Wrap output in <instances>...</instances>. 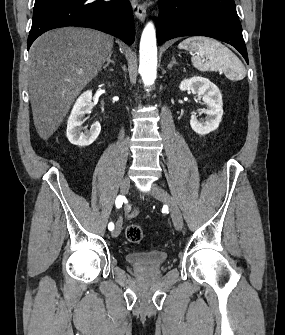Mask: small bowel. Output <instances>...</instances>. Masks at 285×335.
<instances>
[{
	"label": "small bowel",
	"mask_w": 285,
	"mask_h": 335,
	"mask_svg": "<svg viewBox=\"0 0 285 335\" xmlns=\"http://www.w3.org/2000/svg\"><path fill=\"white\" fill-rule=\"evenodd\" d=\"M138 211L136 209H133L128 212L127 216L128 218H134L137 215Z\"/></svg>",
	"instance_id": "small-bowel-1"
}]
</instances>
